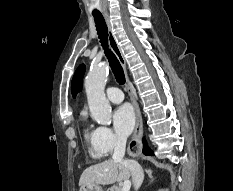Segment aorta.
I'll return each mask as SVG.
<instances>
[{
  "label": "aorta",
  "instance_id": "1",
  "mask_svg": "<svg viewBox=\"0 0 233 191\" xmlns=\"http://www.w3.org/2000/svg\"><path fill=\"white\" fill-rule=\"evenodd\" d=\"M107 74V64L96 65L91 68L84 83L91 117L101 125L111 123V106L104 92Z\"/></svg>",
  "mask_w": 233,
  "mask_h": 191
}]
</instances>
